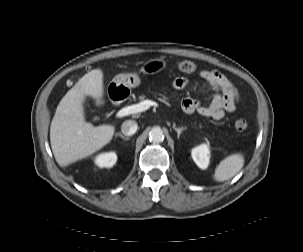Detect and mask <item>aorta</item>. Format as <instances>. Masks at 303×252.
Listing matches in <instances>:
<instances>
[{"mask_svg": "<svg viewBox=\"0 0 303 252\" xmlns=\"http://www.w3.org/2000/svg\"><path fill=\"white\" fill-rule=\"evenodd\" d=\"M149 140L153 142L163 141L164 140L163 131L158 127L152 128L151 131L149 132Z\"/></svg>", "mask_w": 303, "mask_h": 252, "instance_id": "762f6f07", "label": "aorta"}]
</instances>
